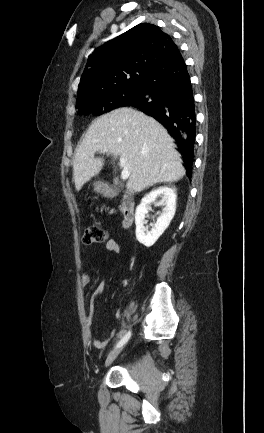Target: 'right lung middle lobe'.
<instances>
[{"instance_id":"right-lung-middle-lobe-1","label":"right lung middle lobe","mask_w":264,"mask_h":433,"mask_svg":"<svg viewBox=\"0 0 264 433\" xmlns=\"http://www.w3.org/2000/svg\"><path fill=\"white\" fill-rule=\"evenodd\" d=\"M140 85H126L107 93L77 101L76 107L81 114L101 115L121 107L127 100L140 92Z\"/></svg>"}]
</instances>
